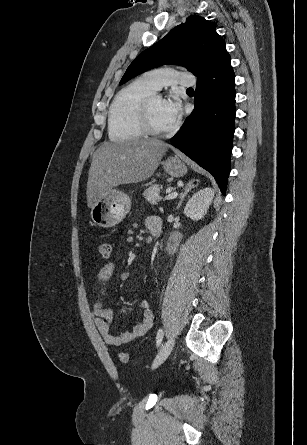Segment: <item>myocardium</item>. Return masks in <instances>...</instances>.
<instances>
[{
    "mask_svg": "<svg viewBox=\"0 0 307 445\" xmlns=\"http://www.w3.org/2000/svg\"><path fill=\"white\" fill-rule=\"evenodd\" d=\"M156 98H161L158 92L152 93L142 103L139 109L140 117L142 120L145 134H149L153 137H147V139H159L158 136L173 134L178 129V124L175 123L170 129L160 130L156 128L151 119V106Z\"/></svg>",
    "mask_w": 307,
    "mask_h": 445,
    "instance_id": "obj_1",
    "label": "myocardium"
}]
</instances>
